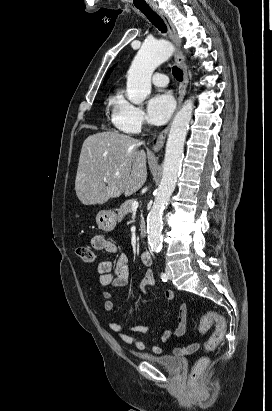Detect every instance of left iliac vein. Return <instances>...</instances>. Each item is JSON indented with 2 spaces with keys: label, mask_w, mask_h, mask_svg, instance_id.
Returning <instances> with one entry per match:
<instances>
[{
  "label": "left iliac vein",
  "mask_w": 272,
  "mask_h": 411,
  "mask_svg": "<svg viewBox=\"0 0 272 411\" xmlns=\"http://www.w3.org/2000/svg\"><path fill=\"white\" fill-rule=\"evenodd\" d=\"M165 271H166V274H167L168 279H171V278H172L171 269L167 266L166 269H165Z\"/></svg>",
  "instance_id": "obj_1"
}]
</instances>
